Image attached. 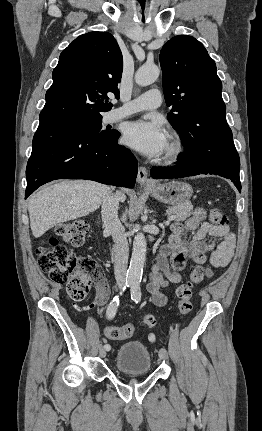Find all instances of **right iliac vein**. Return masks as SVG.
<instances>
[{"mask_svg": "<svg viewBox=\"0 0 262 431\" xmlns=\"http://www.w3.org/2000/svg\"><path fill=\"white\" fill-rule=\"evenodd\" d=\"M99 355L102 358H104L106 356V349L104 348V346L99 347Z\"/></svg>", "mask_w": 262, "mask_h": 431, "instance_id": "right-iliac-vein-1", "label": "right iliac vein"}]
</instances>
